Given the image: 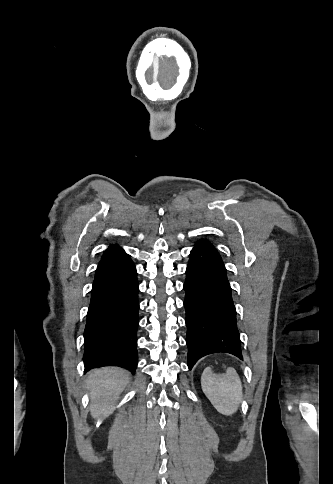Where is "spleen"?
Segmentation results:
<instances>
[{"label":"spleen","mask_w":333,"mask_h":484,"mask_svg":"<svg viewBox=\"0 0 333 484\" xmlns=\"http://www.w3.org/2000/svg\"><path fill=\"white\" fill-rule=\"evenodd\" d=\"M201 387L214 408L222 415L236 413L242 398V383L235 369H227L224 374L204 370Z\"/></svg>","instance_id":"3e777b00"}]
</instances>
